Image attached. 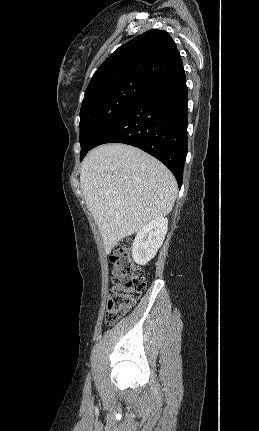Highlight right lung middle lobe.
Instances as JSON below:
<instances>
[{"mask_svg": "<svg viewBox=\"0 0 259 431\" xmlns=\"http://www.w3.org/2000/svg\"><path fill=\"white\" fill-rule=\"evenodd\" d=\"M149 88L140 83H129L102 90L83 99L80 111V159L98 136Z\"/></svg>", "mask_w": 259, "mask_h": 431, "instance_id": "1", "label": "right lung middle lobe"}]
</instances>
